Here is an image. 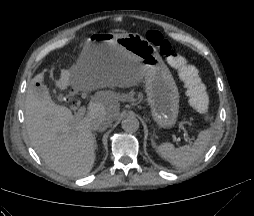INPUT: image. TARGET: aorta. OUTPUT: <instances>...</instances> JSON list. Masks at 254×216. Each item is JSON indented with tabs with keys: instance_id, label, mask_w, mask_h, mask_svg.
I'll return each instance as SVG.
<instances>
[{
	"instance_id": "762f6f07",
	"label": "aorta",
	"mask_w": 254,
	"mask_h": 216,
	"mask_svg": "<svg viewBox=\"0 0 254 216\" xmlns=\"http://www.w3.org/2000/svg\"><path fill=\"white\" fill-rule=\"evenodd\" d=\"M124 131L133 133L139 129V121L134 115H127L121 122Z\"/></svg>"
}]
</instances>
